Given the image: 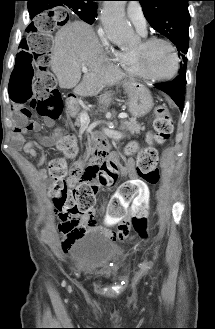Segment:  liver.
Wrapping results in <instances>:
<instances>
[{
	"instance_id": "6515ba94",
	"label": "liver",
	"mask_w": 215,
	"mask_h": 329,
	"mask_svg": "<svg viewBox=\"0 0 215 329\" xmlns=\"http://www.w3.org/2000/svg\"><path fill=\"white\" fill-rule=\"evenodd\" d=\"M83 66L89 71L80 82ZM51 69L61 88H74V93L83 97L96 95L124 77L103 55L92 27L83 21H74L58 30L53 41Z\"/></svg>"
}]
</instances>
